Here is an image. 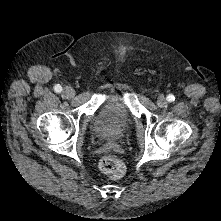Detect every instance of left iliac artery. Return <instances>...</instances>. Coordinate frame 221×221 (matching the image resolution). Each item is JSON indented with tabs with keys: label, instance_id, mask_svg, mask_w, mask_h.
Instances as JSON below:
<instances>
[{
	"label": "left iliac artery",
	"instance_id": "1",
	"mask_svg": "<svg viewBox=\"0 0 221 221\" xmlns=\"http://www.w3.org/2000/svg\"><path fill=\"white\" fill-rule=\"evenodd\" d=\"M167 100H168L169 102H172V101L175 100V97L172 96V95H169V96L167 97Z\"/></svg>",
	"mask_w": 221,
	"mask_h": 221
}]
</instances>
